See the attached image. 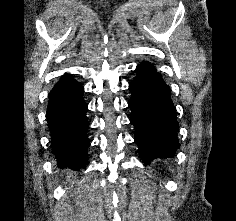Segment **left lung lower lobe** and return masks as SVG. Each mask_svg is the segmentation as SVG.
<instances>
[{
	"label": "left lung lower lobe",
	"instance_id": "0a47b994",
	"mask_svg": "<svg viewBox=\"0 0 236 221\" xmlns=\"http://www.w3.org/2000/svg\"><path fill=\"white\" fill-rule=\"evenodd\" d=\"M136 72V78L129 84L131 122L140 156L149 163L155 158L175 154L180 147L178 123L170 88L160 74L147 61L139 64Z\"/></svg>",
	"mask_w": 236,
	"mask_h": 221
}]
</instances>
